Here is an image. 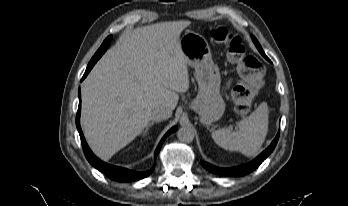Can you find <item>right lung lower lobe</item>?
<instances>
[{
    "mask_svg": "<svg viewBox=\"0 0 348 206\" xmlns=\"http://www.w3.org/2000/svg\"><path fill=\"white\" fill-rule=\"evenodd\" d=\"M109 44H102L101 47L98 49V51L95 53V55L92 57L91 61L89 62L87 69L85 71V74L82 77V80L87 76V74L90 72V70L92 69V67L94 66V64L98 61V59L104 54V52L107 50ZM80 110H81V95H80V90H79V107H78V112H77V116H76V126L81 138V143H82V147L85 153V156L87 158V160L96 168L98 169L100 172L104 173L108 178L115 180V181H120V182H125V181H135V180H139L142 178H145L147 176H149L154 168H152L151 170L147 171V172H135L132 170H128L126 168H121V167H116V166H112L109 165L103 161H101L100 159H98L89 149L85 138L83 136L81 127H80ZM177 129V126L171 128L166 134L165 136L162 138V140L160 141L159 145L156 148L155 151V157L158 155L162 143L164 142L165 138L171 134L172 132H174Z\"/></svg>",
    "mask_w": 348,
    "mask_h": 206,
    "instance_id": "right-lung-lower-lobe-1",
    "label": "right lung lower lobe"
}]
</instances>
